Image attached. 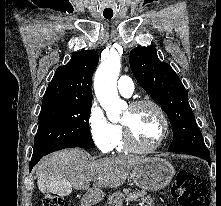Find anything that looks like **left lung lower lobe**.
<instances>
[{
  "mask_svg": "<svg viewBox=\"0 0 221 206\" xmlns=\"http://www.w3.org/2000/svg\"><path fill=\"white\" fill-rule=\"evenodd\" d=\"M177 153H184V154H189V155H193V156L203 158L206 161H208L209 165H211V159H210L209 153H198V152H177Z\"/></svg>",
  "mask_w": 221,
  "mask_h": 206,
  "instance_id": "obj_1",
  "label": "left lung lower lobe"
}]
</instances>
